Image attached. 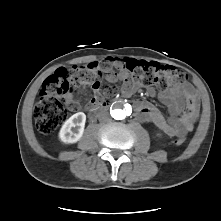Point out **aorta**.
I'll list each match as a JSON object with an SVG mask.
<instances>
[{
	"label": "aorta",
	"mask_w": 221,
	"mask_h": 221,
	"mask_svg": "<svg viewBox=\"0 0 221 221\" xmlns=\"http://www.w3.org/2000/svg\"><path fill=\"white\" fill-rule=\"evenodd\" d=\"M111 116L115 120H123L127 116V112L122 104H116L113 106V109L111 110Z\"/></svg>",
	"instance_id": "obj_1"
}]
</instances>
